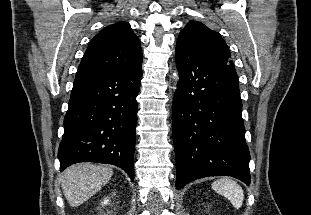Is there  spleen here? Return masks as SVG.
<instances>
[{"label": "spleen", "instance_id": "obj_1", "mask_svg": "<svg viewBox=\"0 0 311 215\" xmlns=\"http://www.w3.org/2000/svg\"><path fill=\"white\" fill-rule=\"evenodd\" d=\"M212 188L218 194L226 197L234 208L239 209L243 204L244 192L242 187L228 178H221L212 183Z\"/></svg>", "mask_w": 311, "mask_h": 215}]
</instances>
